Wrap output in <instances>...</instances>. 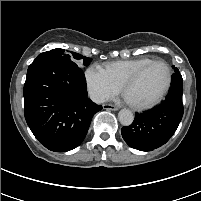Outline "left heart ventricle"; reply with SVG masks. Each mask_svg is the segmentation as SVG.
<instances>
[{
	"label": "left heart ventricle",
	"mask_w": 201,
	"mask_h": 201,
	"mask_svg": "<svg viewBox=\"0 0 201 201\" xmlns=\"http://www.w3.org/2000/svg\"><path fill=\"white\" fill-rule=\"evenodd\" d=\"M166 80V67L162 63L152 64L127 88L125 97L133 103L149 102L162 91Z\"/></svg>",
	"instance_id": "1"
}]
</instances>
